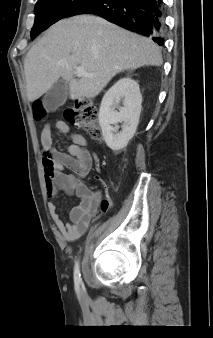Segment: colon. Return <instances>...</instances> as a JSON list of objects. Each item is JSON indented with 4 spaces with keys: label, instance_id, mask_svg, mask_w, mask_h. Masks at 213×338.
<instances>
[{
    "label": "colon",
    "instance_id": "obj_1",
    "mask_svg": "<svg viewBox=\"0 0 213 338\" xmlns=\"http://www.w3.org/2000/svg\"><path fill=\"white\" fill-rule=\"evenodd\" d=\"M46 118L44 107L41 103H36L34 107V119L36 121H43ZM66 121L83 129L88 136L93 140H99L102 137V130L98 121V111L90 103L89 100L83 99L75 101L72 105L67 107L65 112ZM49 172L54 174L52 163H49ZM110 207L109 199L103 200L99 216L104 215Z\"/></svg>",
    "mask_w": 213,
    "mask_h": 338
}]
</instances>
